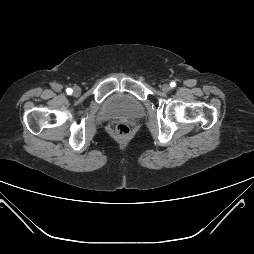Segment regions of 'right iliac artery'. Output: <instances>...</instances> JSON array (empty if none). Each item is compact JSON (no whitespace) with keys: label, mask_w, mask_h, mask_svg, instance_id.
I'll return each mask as SVG.
<instances>
[{"label":"right iliac artery","mask_w":254,"mask_h":254,"mask_svg":"<svg viewBox=\"0 0 254 254\" xmlns=\"http://www.w3.org/2000/svg\"><path fill=\"white\" fill-rule=\"evenodd\" d=\"M66 92H67V94L70 95V94H72L73 90L71 88H67Z\"/></svg>","instance_id":"obj_1"}]
</instances>
